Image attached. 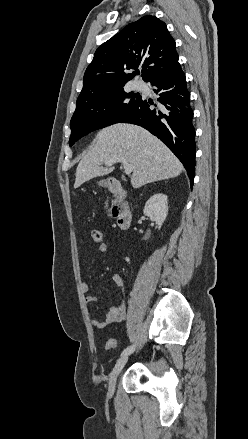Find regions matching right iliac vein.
I'll return each mask as SVG.
<instances>
[{"mask_svg": "<svg viewBox=\"0 0 248 439\" xmlns=\"http://www.w3.org/2000/svg\"><path fill=\"white\" fill-rule=\"evenodd\" d=\"M128 358H129L128 355H123L120 359H118V361L116 362L115 366L113 367V369L110 373L109 391L111 393H113L115 390L116 379H117L118 375L120 374V372L122 371V369L124 368L125 364L127 363Z\"/></svg>", "mask_w": 248, "mask_h": 439, "instance_id": "right-iliac-vein-1", "label": "right iliac vein"}]
</instances>
